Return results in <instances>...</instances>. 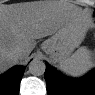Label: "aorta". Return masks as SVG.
I'll return each instance as SVG.
<instances>
[{
  "label": "aorta",
  "mask_w": 95,
  "mask_h": 95,
  "mask_svg": "<svg viewBox=\"0 0 95 95\" xmlns=\"http://www.w3.org/2000/svg\"><path fill=\"white\" fill-rule=\"evenodd\" d=\"M46 65L39 59H34L29 64V72L34 76H41L45 73Z\"/></svg>",
  "instance_id": "aorta-1"
}]
</instances>
